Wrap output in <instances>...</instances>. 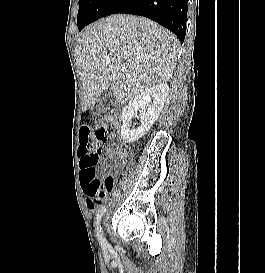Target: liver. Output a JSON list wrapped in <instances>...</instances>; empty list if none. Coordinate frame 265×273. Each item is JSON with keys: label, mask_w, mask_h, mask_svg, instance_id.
Masks as SVG:
<instances>
[{"label": "liver", "mask_w": 265, "mask_h": 273, "mask_svg": "<svg viewBox=\"0 0 265 273\" xmlns=\"http://www.w3.org/2000/svg\"><path fill=\"white\" fill-rule=\"evenodd\" d=\"M179 48L175 35L145 17L118 14L91 24L76 45L83 108L92 107L110 87L116 101L125 104L168 81Z\"/></svg>", "instance_id": "obj_1"}]
</instances>
